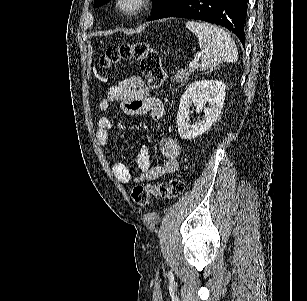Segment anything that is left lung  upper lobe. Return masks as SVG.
<instances>
[{
  "label": "left lung upper lobe",
  "mask_w": 307,
  "mask_h": 301,
  "mask_svg": "<svg viewBox=\"0 0 307 301\" xmlns=\"http://www.w3.org/2000/svg\"><path fill=\"white\" fill-rule=\"evenodd\" d=\"M109 0H95L94 7H99ZM177 0H153V15L149 20L157 19L167 8L173 5Z\"/></svg>",
  "instance_id": "1"
}]
</instances>
